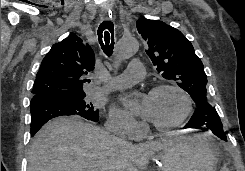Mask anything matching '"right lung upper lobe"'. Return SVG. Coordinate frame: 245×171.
<instances>
[{
  "label": "right lung upper lobe",
  "instance_id": "1",
  "mask_svg": "<svg viewBox=\"0 0 245 171\" xmlns=\"http://www.w3.org/2000/svg\"><path fill=\"white\" fill-rule=\"evenodd\" d=\"M82 42L71 34L52 46L36 75L33 98L85 94L83 83L89 81L85 75L94 70L95 55L92 48Z\"/></svg>",
  "mask_w": 245,
  "mask_h": 171
}]
</instances>
